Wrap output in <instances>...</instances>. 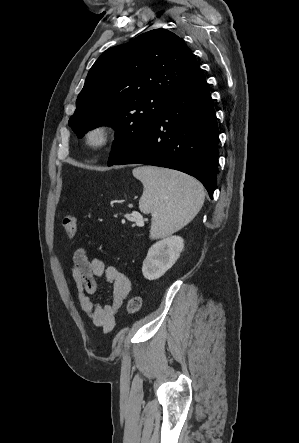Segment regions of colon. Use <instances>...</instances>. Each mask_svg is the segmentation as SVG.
Listing matches in <instances>:
<instances>
[{"instance_id":"obj_1","label":"colon","mask_w":299,"mask_h":443,"mask_svg":"<svg viewBox=\"0 0 299 443\" xmlns=\"http://www.w3.org/2000/svg\"><path fill=\"white\" fill-rule=\"evenodd\" d=\"M62 226L69 240H74L77 231V220L75 215L67 213L62 219ZM142 300L139 296H132L127 302V312L131 315L140 311Z\"/></svg>"}]
</instances>
